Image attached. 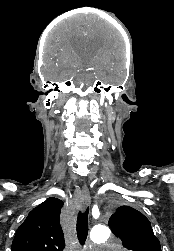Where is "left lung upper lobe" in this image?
Listing matches in <instances>:
<instances>
[{"label": "left lung upper lobe", "instance_id": "left-lung-upper-lobe-1", "mask_svg": "<svg viewBox=\"0 0 174 251\" xmlns=\"http://www.w3.org/2000/svg\"><path fill=\"white\" fill-rule=\"evenodd\" d=\"M109 226L129 251H161L150 221L134 208L120 207L110 218Z\"/></svg>", "mask_w": 174, "mask_h": 251}]
</instances>
